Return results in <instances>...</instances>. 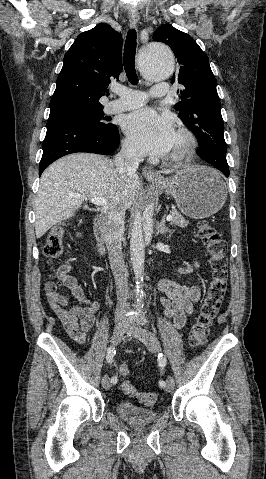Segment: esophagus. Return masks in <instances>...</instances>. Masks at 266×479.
<instances>
[{
	"instance_id": "obj_1",
	"label": "esophagus",
	"mask_w": 266,
	"mask_h": 479,
	"mask_svg": "<svg viewBox=\"0 0 266 479\" xmlns=\"http://www.w3.org/2000/svg\"><path fill=\"white\" fill-rule=\"evenodd\" d=\"M139 21V13L137 10H130L129 11V22L132 27L136 26V24ZM142 173L145 177L147 178H153V179H161L162 176L156 172L154 169L151 167H143Z\"/></svg>"
}]
</instances>
